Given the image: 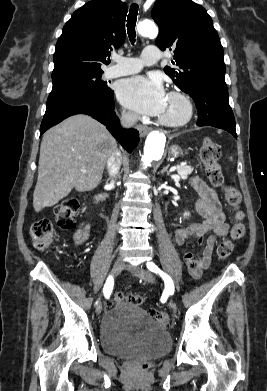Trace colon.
I'll return each instance as SVG.
<instances>
[{"label": "colon", "instance_id": "colon-1", "mask_svg": "<svg viewBox=\"0 0 267 391\" xmlns=\"http://www.w3.org/2000/svg\"><path fill=\"white\" fill-rule=\"evenodd\" d=\"M200 158L205 167V172L210 183L215 187L223 189L225 200L228 206L234 212L235 223L230 231L228 239L223 240L218 248L217 255L220 259L228 258L233 249L234 242L244 237L246 226L243 222L244 212L240 209L241 195L239 191L232 186L224 185V176L219 164L220 149L218 145L209 138H205L200 148ZM80 211V203L77 199L71 198L59 203L54 209L55 223L61 229H72L75 226V219ZM30 236L35 248L39 250L46 249L55 238L53 223L49 219H41L34 222L30 227ZM144 298L140 294L116 293L113 296V302H127L133 305L142 304ZM150 315L160 324L167 327L171 320L167 313L151 309Z\"/></svg>", "mask_w": 267, "mask_h": 391}]
</instances>
